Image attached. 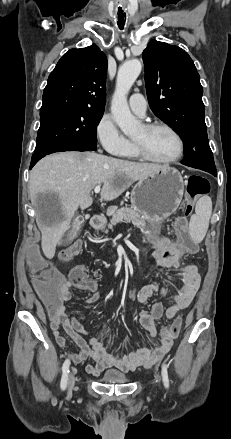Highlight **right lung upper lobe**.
<instances>
[{"label":"right lung upper lobe","instance_id":"right-lung-upper-lobe-1","mask_svg":"<svg viewBox=\"0 0 231 439\" xmlns=\"http://www.w3.org/2000/svg\"><path fill=\"white\" fill-rule=\"evenodd\" d=\"M107 58L96 46L71 49L51 72L40 116L73 109L104 110Z\"/></svg>","mask_w":231,"mask_h":439}]
</instances>
